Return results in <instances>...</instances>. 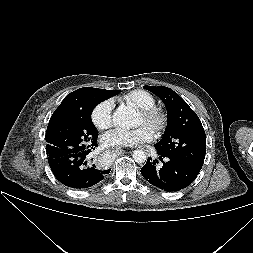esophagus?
<instances>
[{
    "label": "esophagus",
    "mask_w": 253,
    "mask_h": 253,
    "mask_svg": "<svg viewBox=\"0 0 253 253\" xmlns=\"http://www.w3.org/2000/svg\"><path fill=\"white\" fill-rule=\"evenodd\" d=\"M107 153L120 155L122 154L123 150L117 147H110L106 150Z\"/></svg>",
    "instance_id": "34e87169"
}]
</instances>
